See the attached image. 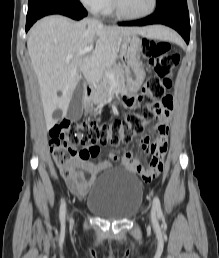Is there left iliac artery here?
Instances as JSON below:
<instances>
[{
	"mask_svg": "<svg viewBox=\"0 0 219 258\" xmlns=\"http://www.w3.org/2000/svg\"><path fill=\"white\" fill-rule=\"evenodd\" d=\"M152 208L157 213L158 217H162L163 216V213H162V210H161L160 200H159L158 197H154V199H153V207Z\"/></svg>",
	"mask_w": 219,
	"mask_h": 258,
	"instance_id": "44dca946",
	"label": "left iliac artery"
}]
</instances>
